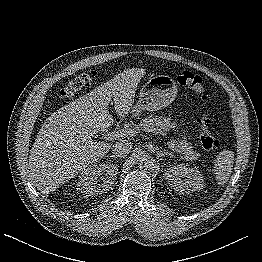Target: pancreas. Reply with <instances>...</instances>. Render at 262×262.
<instances>
[{"instance_id": "cf45deb5", "label": "pancreas", "mask_w": 262, "mask_h": 262, "mask_svg": "<svg viewBox=\"0 0 262 262\" xmlns=\"http://www.w3.org/2000/svg\"><path fill=\"white\" fill-rule=\"evenodd\" d=\"M134 115L138 116L140 113L136 112ZM139 126L146 132H154L156 134H165L170 130L176 132V124L175 122H171L170 117H161L153 114L145 117ZM176 143V149L182 152L185 160L193 162L198 158L199 153L192 149L189 142L181 140Z\"/></svg>"}]
</instances>
